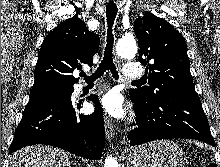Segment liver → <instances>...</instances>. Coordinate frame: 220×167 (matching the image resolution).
I'll return each instance as SVG.
<instances>
[{
    "label": "liver",
    "mask_w": 220,
    "mask_h": 167,
    "mask_svg": "<svg viewBox=\"0 0 220 167\" xmlns=\"http://www.w3.org/2000/svg\"><path fill=\"white\" fill-rule=\"evenodd\" d=\"M9 167H71L67 152L50 146H28L9 157Z\"/></svg>",
    "instance_id": "liver-1"
}]
</instances>
